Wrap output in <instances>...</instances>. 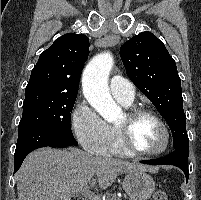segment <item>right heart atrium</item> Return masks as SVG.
<instances>
[{
	"label": "right heart atrium",
	"mask_w": 201,
	"mask_h": 200,
	"mask_svg": "<svg viewBox=\"0 0 201 200\" xmlns=\"http://www.w3.org/2000/svg\"><path fill=\"white\" fill-rule=\"evenodd\" d=\"M71 125L75 137L86 151L96 155L107 152L110 128L86 101L79 102L74 108Z\"/></svg>",
	"instance_id": "1"
}]
</instances>
